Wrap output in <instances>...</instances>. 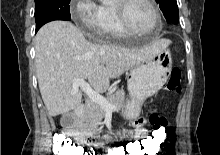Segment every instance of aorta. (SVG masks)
Listing matches in <instances>:
<instances>
[{
	"label": "aorta",
	"instance_id": "1",
	"mask_svg": "<svg viewBox=\"0 0 220 155\" xmlns=\"http://www.w3.org/2000/svg\"><path fill=\"white\" fill-rule=\"evenodd\" d=\"M104 2H107L108 0H103Z\"/></svg>",
	"mask_w": 220,
	"mask_h": 155
}]
</instances>
